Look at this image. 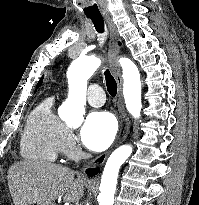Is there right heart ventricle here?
I'll list each match as a JSON object with an SVG mask.
<instances>
[{"label":"right heart ventricle","mask_w":199,"mask_h":205,"mask_svg":"<svg viewBox=\"0 0 199 205\" xmlns=\"http://www.w3.org/2000/svg\"><path fill=\"white\" fill-rule=\"evenodd\" d=\"M53 98L40 102L30 113L21 137L20 149L24 158L52 163L62 151L66 126L53 110Z\"/></svg>","instance_id":"e07e8e85"}]
</instances>
